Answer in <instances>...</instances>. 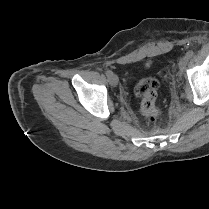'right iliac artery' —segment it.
<instances>
[{"instance_id":"1","label":"right iliac artery","mask_w":209,"mask_h":209,"mask_svg":"<svg viewBox=\"0 0 209 209\" xmlns=\"http://www.w3.org/2000/svg\"><path fill=\"white\" fill-rule=\"evenodd\" d=\"M105 73H106V75L109 77V76L112 74V71L107 70Z\"/></svg>"}]
</instances>
